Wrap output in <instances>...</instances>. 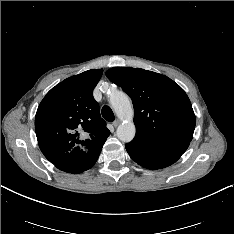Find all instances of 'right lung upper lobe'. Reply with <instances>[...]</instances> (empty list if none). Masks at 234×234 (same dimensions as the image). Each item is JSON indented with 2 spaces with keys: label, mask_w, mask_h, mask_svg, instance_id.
<instances>
[{
  "label": "right lung upper lobe",
  "mask_w": 234,
  "mask_h": 234,
  "mask_svg": "<svg viewBox=\"0 0 234 234\" xmlns=\"http://www.w3.org/2000/svg\"><path fill=\"white\" fill-rule=\"evenodd\" d=\"M102 73V69H92L69 77L41 101L35 131L39 147L51 163L75 162L109 136L93 97Z\"/></svg>",
  "instance_id": "1"
}]
</instances>
